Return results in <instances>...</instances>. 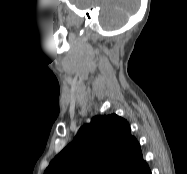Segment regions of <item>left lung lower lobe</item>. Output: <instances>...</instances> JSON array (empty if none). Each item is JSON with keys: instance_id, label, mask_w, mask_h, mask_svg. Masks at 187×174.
Segmentation results:
<instances>
[{"instance_id": "1", "label": "left lung lower lobe", "mask_w": 187, "mask_h": 174, "mask_svg": "<svg viewBox=\"0 0 187 174\" xmlns=\"http://www.w3.org/2000/svg\"><path fill=\"white\" fill-rule=\"evenodd\" d=\"M130 174H151V171L146 163H138Z\"/></svg>"}]
</instances>
